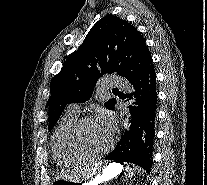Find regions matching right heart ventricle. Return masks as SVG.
I'll use <instances>...</instances> for the list:
<instances>
[{
  "label": "right heart ventricle",
  "mask_w": 207,
  "mask_h": 185,
  "mask_svg": "<svg viewBox=\"0 0 207 185\" xmlns=\"http://www.w3.org/2000/svg\"><path fill=\"white\" fill-rule=\"evenodd\" d=\"M78 120L77 113L68 112L59 121L52 137L55 160L60 165H77L91 157L75 151L69 141L73 124Z\"/></svg>",
  "instance_id": "1"
}]
</instances>
